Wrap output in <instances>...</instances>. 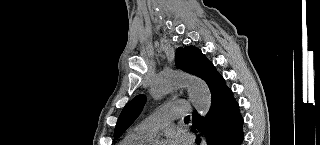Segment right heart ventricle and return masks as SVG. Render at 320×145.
Instances as JSON below:
<instances>
[{"label": "right heart ventricle", "mask_w": 320, "mask_h": 145, "mask_svg": "<svg viewBox=\"0 0 320 145\" xmlns=\"http://www.w3.org/2000/svg\"><path fill=\"white\" fill-rule=\"evenodd\" d=\"M151 138L137 132L135 129L128 132L122 139L120 145H146Z\"/></svg>", "instance_id": "right-heart-ventricle-1"}]
</instances>
